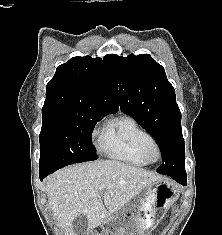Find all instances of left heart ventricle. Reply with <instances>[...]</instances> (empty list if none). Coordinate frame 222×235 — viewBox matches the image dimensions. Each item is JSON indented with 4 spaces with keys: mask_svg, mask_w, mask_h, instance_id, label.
Returning a JSON list of instances; mask_svg holds the SVG:
<instances>
[{
    "mask_svg": "<svg viewBox=\"0 0 222 235\" xmlns=\"http://www.w3.org/2000/svg\"><path fill=\"white\" fill-rule=\"evenodd\" d=\"M150 158H151V159H156V158H157V152H156L155 150H152V151L150 152Z\"/></svg>",
    "mask_w": 222,
    "mask_h": 235,
    "instance_id": "obj_1",
    "label": "left heart ventricle"
}]
</instances>
